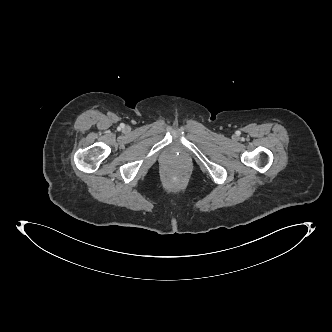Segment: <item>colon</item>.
Wrapping results in <instances>:
<instances>
[{
  "label": "colon",
  "mask_w": 332,
  "mask_h": 332,
  "mask_svg": "<svg viewBox=\"0 0 332 332\" xmlns=\"http://www.w3.org/2000/svg\"><path fill=\"white\" fill-rule=\"evenodd\" d=\"M168 177L172 180H176V179L181 178V175L178 173H172V174H169Z\"/></svg>",
  "instance_id": "1"
}]
</instances>
